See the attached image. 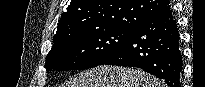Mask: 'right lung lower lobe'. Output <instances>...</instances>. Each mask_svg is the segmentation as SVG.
<instances>
[{"label":"right lung lower lobe","instance_id":"98d812e1","mask_svg":"<svg viewBox=\"0 0 205 87\" xmlns=\"http://www.w3.org/2000/svg\"><path fill=\"white\" fill-rule=\"evenodd\" d=\"M100 65L140 68L164 80L170 87H180L183 58L171 8L139 25Z\"/></svg>","mask_w":205,"mask_h":87}]
</instances>
